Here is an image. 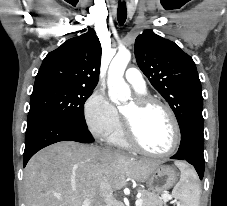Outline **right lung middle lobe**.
I'll use <instances>...</instances> for the list:
<instances>
[{
    "instance_id": "obj_1",
    "label": "right lung middle lobe",
    "mask_w": 227,
    "mask_h": 206,
    "mask_svg": "<svg viewBox=\"0 0 227 206\" xmlns=\"http://www.w3.org/2000/svg\"><path fill=\"white\" fill-rule=\"evenodd\" d=\"M93 90L56 82L35 84L27 124L42 118H55L83 125L84 103Z\"/></svg>"
}]
</instances>
